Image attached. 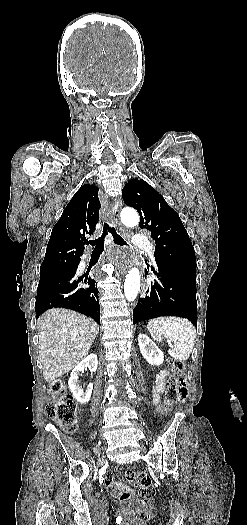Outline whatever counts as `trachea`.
Listing matches in <instances>:
<instances>
[{
	"label": "trachea",
	"instance_id": "obj_1",
	"mask_svg": "<svg viewBox=\"0 0 247 525\" xmlns=\"http://www.w3.org/2000/svg\"><path fill=\"white\" fill-rule=\"evenodd\" d=\"M108 234L112 235L113 241L117 245H121V246H124V247L128 246V244L125 242V240L120 235H118V233L116 232L114 226H111L109 223H104L103 233H102L101 237L96 238V240H89V242H87L88 244H90V245H92L94 247L93 253H96V252H100L101 253V252H103L104 245H105V239L108 236Z\"/></svg>",
	"mask_w": 247,
	"mask_h": 525
}]
</instances>
